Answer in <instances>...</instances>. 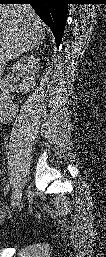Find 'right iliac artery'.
<instances>
[{
    "label": "right iliac artery",
    "mask_w": 106,
    "mask_h": 257,
    "mask_svg": "<svg viewBox=\"0 0 106 257\" xmlns=\"http://www.w3.org/2000/svg\"><path fill=\"white\" fill-rule=\"evenodd\" d=\"M18 190H19V189L17 188V186H14V187L12 188V191L10 192V195H9L10 201H13V199L15 198V196H16Z\"/></svg>",
    "instance_id": "1"
}]
</instances>
